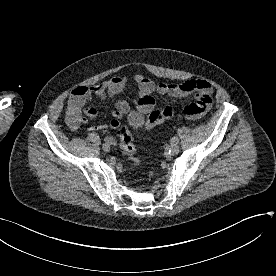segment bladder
Wrapping results in <instances>:
<instances>
[{
  "mask_svg": "<svg viewBox=\"0 0 276 276\" xmlns=\"http://www.w3.org/2000/svg\"><path fill=\"white\" fill-rule=\"evenodd\" d=\"M144 119L140 114H134L129 118V124L133 129H140L143 125Z\"/></svg>",
  "mask_w": 276,
  "mask_h": 276,
  "instance_id": "bladder-1",
  "label": "bladder"
}]
</instances>
